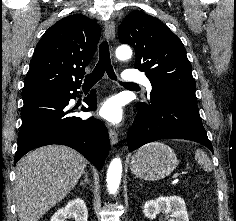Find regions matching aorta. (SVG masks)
<instances>
[{
  "label": "aorta",
  "instance_id": "obj_1",
  "mask_svg": "<svg viewBox=\"0 0 236 221\" xmlns=\"http://www.w3.org/2000/svg\"><path fill=\"white\" fill-rule=\"evenodd\" d=\"M132 56V50L128 45H121L116 49V57L119 60H126ZM122 174V162L120 158H114L107 171V187L110 194H116Z\"/></svg>",
  "mask_w": 236,
  "mask_h": 221
}]
</instances>
